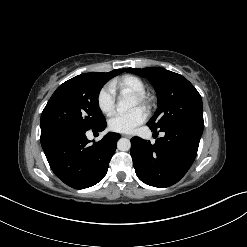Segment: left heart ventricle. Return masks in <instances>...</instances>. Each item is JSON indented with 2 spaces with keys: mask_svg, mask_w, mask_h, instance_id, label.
<instances>
[{
  "mask_svg": "<svg viewBox=\"0 0 247 247\" xmlns=\"http://www.w3.org/2000/svg\"><path fill=\"white\" fill-rule=\"evenodd\" d=\"M138 105V102H137V100L134 98L133 99V106H137Z\"/></svg>",
  "mask_w": 247,
  "mask_h": 247,
  "instance_id": "b2bd125f",
  "label": "left heart ventricle"
}]
</instances>
